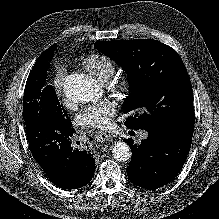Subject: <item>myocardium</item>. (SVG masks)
Segmentation results:
<instances>
[{
	"instance_id": "f54148a6",
	"label": "myocardium",
	"mask_w": 219,
	"mask_h": 219,
	"mask_svg": "<svg viewBox=\"0 0 219 219\" xmlns=\"http://www.w3.org/2000/svg\"><path fill=\"white\" fill-rule=\"evenodd\" d=\"M132 87V77L128 74L114 79L110 84V90L120 98H125Z\"/></svg>"
}]
</instances>
